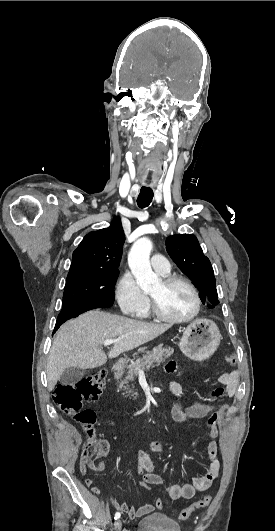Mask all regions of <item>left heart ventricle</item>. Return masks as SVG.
Returning a JSON list of instances; mask_svg holds the SVG:
<instances>
[{"label":"left heart ventricle","instance_id":"1","mask_svg":"<svg viewBox=\"0 0 275 531\" xmlns=\"http://www.w3.org/2000/svg\"><path fill=\"white\" fill-rule=\"evenodd\" d=\"M150 294L156 299L160 310L170 317L181 318L194 309L193 295L182 283L165 285L161 280Z\"/></svg>","mask_w":275,"mask_h":531}]
</instances>
